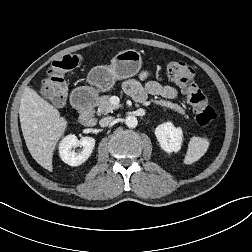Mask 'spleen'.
Wrapping results in <instances>:
<instances>
[{"label": "spleen", "instance_id": "1", "mask_svg": "<svg viewBox=\"0 0 252 252\" xmlns=\"http://www.w3.org/2000/svg\"><path fill=\"white\" fill-rule=\"evenodd\" d=\"M209 140L205 137L193 136L188 144V150L184 158V164L191 165L198 161L207 151Z\"/></svg>", "mask_w": 252, "mask_h": 252}]
</instances>
